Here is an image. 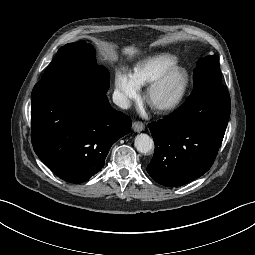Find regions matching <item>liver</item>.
<instances>
[{
  "mask_svg": "<svg viewBox=\"0 0 255 255\" xmlns=\"http://www.w3.org/2000/svg\"><path fill=\"white\" fill-rule=\"evenodd\" d=\"M123 52L127 54L128 56H133L135 53H137L136 48L129 46L123 49Z\"/></svg>",
  "mask_w": 255,
  "mask_h": 255,
  "instance_id": "6515ba94",
  "label": "liver"
}]
</instances>
